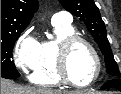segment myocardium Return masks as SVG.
I'll use <instances>...</instances> for the list:
<instances>
[{"mask_svg":"<svg viewBox=\"0 0 121 94\" xmlns=\"http://www.w3.org/2000/svg\"><path fill=\"white\" fill-rule=\"evenodd\" d=\"M76 43H83L92 53L96 61V73L94 77L87 83H76L70 75L68 68L69 53L72 47ZM56 70L59 79L64 83L72 87H88L94 84L101 75L102 72V61L100 55L93 44L84 38L83 36L73 34L68 37L63 38L58 46L56 51Z\"/></svg>","mask_w":121,"mask_h":94,"instance_id":"myocardium-1","label":"myocardium"}]
</instances>
